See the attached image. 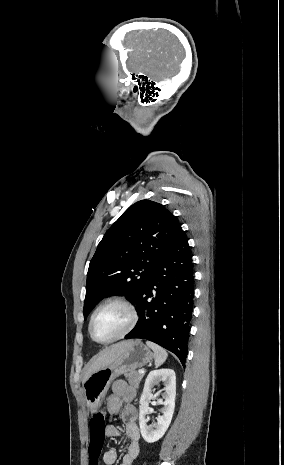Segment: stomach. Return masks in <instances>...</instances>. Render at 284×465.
Wrapping results in <instances>:
<instances>
[{"instance_id": "stomach-1", "label": "stomach", "mask_w": 284, "mask_h": 465, "mask_svg": "<svg viewBox=\"0 0 284 465\" xmlns=\"http://www.w3.org/2000/svg\"><path fill=\"white\" fill-rule=\"evenodd\" d=\"M154 357V353L146 345H143L139 339L138 341H130L125 351L120 353L113 363L99 369V371H95L83 383V393L88 411H98L100 409L107 391L116 377L147 365Z\"/></svg>"}]
</instances>
